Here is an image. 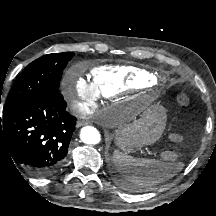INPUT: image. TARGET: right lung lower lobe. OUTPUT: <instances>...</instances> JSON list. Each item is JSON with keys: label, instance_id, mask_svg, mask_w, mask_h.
Here are the masks:
<instances>
[{"label": "right lung lower lobe", "instance_id": "obj_1", "mask_svg": "<svg viewBox=\"0 0 216 216\" xmlns=\"http://www.w3.org/2000/svg\"><path fill=\"white\" fill-rule=\"evenodd\" d=\"M66 106L57 93L4 113L0 117V155L36 177L58 173L76 125Z\"/></svg>", "mask_w": 216, "mask_h": 216}]
</instances>
